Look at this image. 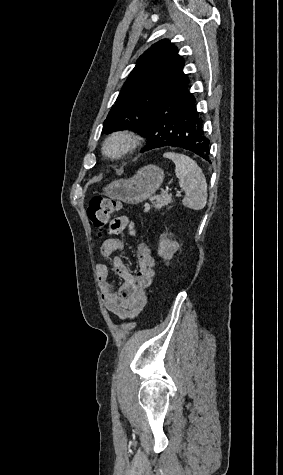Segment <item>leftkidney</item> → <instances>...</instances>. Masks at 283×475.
<instances>
[{"instance_id": "1", "label": "left kidney", "mask_w": 283, "mask_h": 475, "mask_svg": "<svg viewBox=\"0 0 283 475\" xmlns=\"http://www.w3.org/2000/svg\"><path fill=\"white\" fill-rule=\"evenodd\" d=\"M162 238L160 239L158 253L164 259H171L173 253L179 249L178 241H173V239L165 238L167 234H161Z\"/></svg>"}]
</instances>
